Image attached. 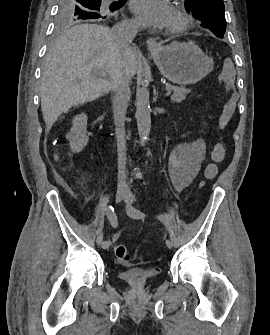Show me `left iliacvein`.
I'll return each mask as SVG.
<instances>
[{
  "mask_svg": "<svg viewBox=\"0 0 270 335\" xmlns=\"http://www.w3.org/2000/svg\"><path fill=\"white\" fill-rule=\"evenodd\" d=\"M134 196L133 194L130 192V191H127L126 195H125V198H124V201L126 203V211H127V214L132 217V218H138V217H135L132 212H131V208L133 207V202H134ZM166 246L168 248H173V244L170 240H166Z\"/></svg>",
  "mask_w": 270,
  "mask_h": 335,
  "instance_id": "obj_1",
  "label": "left iliac vein"
}]
</instances>
